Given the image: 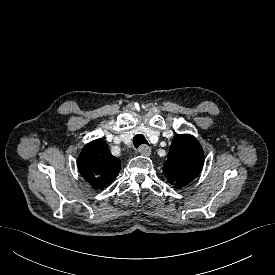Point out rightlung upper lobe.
<instances>
[{"instance_id": "right-lung-upper-lobe-1", "label": "right lung upper lobe", "mask_w": 275, "mask_h": 275, "mask_svg": "<svg viewBox=\"0 0 275 275\" xmlns=\"http://www.w3.org/2000/svg\"><path fill=\"white\" fill-rule=\"evenodd\" d=\"M120 169V160L111 154L103 139L88 143L78 157V170L94 189L107 187Z\"/></svg>"}]
</instances>
